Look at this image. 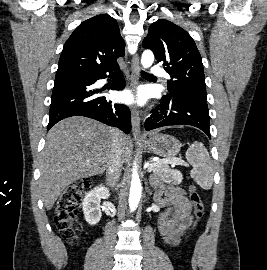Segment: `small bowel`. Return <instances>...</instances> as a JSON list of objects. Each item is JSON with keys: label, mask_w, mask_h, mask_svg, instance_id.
<instances>
[{"label": "small bowel", "mask_w": 267, "mask_h": 270, "mask_svg": "<svg viewBox=\"0 0 267 270\" xmlns=\"http://www.w3.org/2000/svg\"><path fill=\"white\" fill-rule=\"evenodd\" d=\"M155 201L167 208L159 219V231L165 246H175L192 222L191 204L184 190L178 186L159 185Z\"/></svg>", "instance_id": "c3829d8e"}]
</instances>
